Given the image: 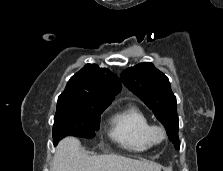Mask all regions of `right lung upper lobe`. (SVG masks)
Returning <instances> with one entry per match:
<instances>
[{
    "instance_id": "1",
    "label": "right lung upper lobe",
    "mask_w": 223,
    "mask_h": 171,
    "mask_svg": "<svg viewBox=\"0 0 223 171\" xmlns=\"http://www.w3.org/2000/svg\"><path fill=\"white\" fill-rule=\"evenodd\" d=\"M121 90L118 77L106 68L87 64L70 78L57 104L109 106Z\"/></svg>"
}]
</instances>
